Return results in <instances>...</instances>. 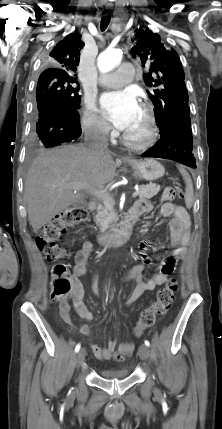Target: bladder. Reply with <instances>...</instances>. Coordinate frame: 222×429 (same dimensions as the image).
I'll return each mask as SVG.
<instances>
[{
  "instance_id": "31cf9c89",
  "label": "bladder",
  "mask_w": 222,
  "mask_h": 429,
  "mask_svg": "<svg viewBox=\"0 0 222 429\" xmlns=\"http://www.w3.org/2000/svg\"><path fill=\"white\" fill-rule=\"evenodd\" d=\"M129 375L128 370L126 369H113V370H105L101 372V376L104 378L110 379H122Z\"/></svg>"
}]
</instances>
